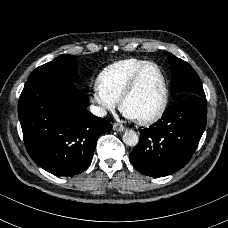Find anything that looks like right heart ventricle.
<instances>
[{
  "instance_id": "right-heart-ventricle-1",
  "label": "right heart ventricle",
  "mask_w": 228,
  "mask_h": 228,
  "mask_svg": "<svg viewBox=\"0 0 228 228\" xmlns=\"http://www.w3.org/2000/svg\"><path fill=\"white\" fill-rule=\"evenodd\" d=\"M151 61L137 58L122 59L103 68L97 77L100 92L120 101L134 74Z\"/></svg>"
}]
</instances>
